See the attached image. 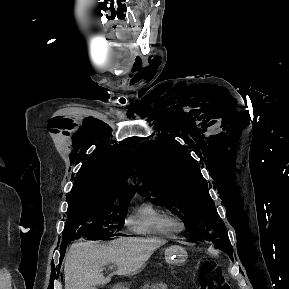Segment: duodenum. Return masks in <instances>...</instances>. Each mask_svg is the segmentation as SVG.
Instances as JSON below:
<instances>
[{
	"label": "duodenum",
	"instance_id": "410a0bca",
	"mask_svg": "<svg viewBox=\"0 0 289 289\" xmlns=\"http://www.w3.org/2000/svg\"><path fill=\"white\" fill-rule=\"evenodd\" d=\"M112 289H122L121 286H114Z\"/></svg>",
	"mask_w": 289,
	"mask_h": 289
}]
</instances>
